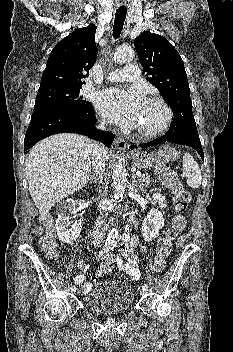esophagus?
<instances>
[{
  "instance_id": "1",
  "label": "esophagus",
  "mask_w": 233,
  "mask_h": 352,
  "mask_svg": "<svg viewBox=\"0 0 233 352\" xmlns=\"http://www.w3.org/2000/svg\"><path fill=\"white\" fill-rule=\"evenodd\" d=\"M115 145L119 150H125L127 148V142L124 140V138H117L115 140Z\"/></svg>"
}]
</instances>
